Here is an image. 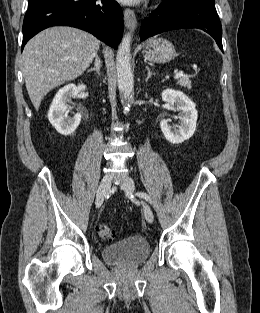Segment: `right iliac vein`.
Here are the masks:
<instances>
[{"label":"right iliac vein","mask_w":260,"mask_h":313,"mask_svg":"<svg viewBox=\"0 0 260 313\" xmlns=\"http://www.w3.org/2000/svg\"><path fill=\"white\" fill-rule=\"evenodd\" d=\"M111 176L107 174L102 181L99 184L97 193H96V199H95V206L96 208H100L108 190L110 189L111 186Z\"/></svg>","instance_id":"63e3f726"}]
</instances>
